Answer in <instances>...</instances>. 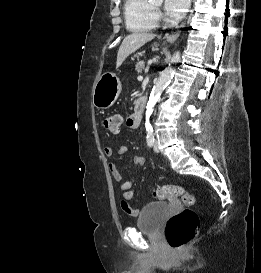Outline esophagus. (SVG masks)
<instances>
[{
  "mask_svg": "<svg viewBox=\"0 0 261 273\" xmlns=\"http://www.w3.org/2000/svg\"><path fill=\"white\" fill-rule=\"evenodd\" d=\"M186 23H184L181 27H184ZM180 35V31H176L172 34H166L164 36V39L169 42V43H173Z\"/></svg>",
  "mask_w": 261,
  "mask_h": 273,
  "instance_id": "1",
  "label": "esophagus"
}]
</instances>
